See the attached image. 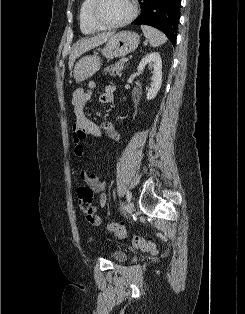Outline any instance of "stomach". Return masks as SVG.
Here are the masks:
<instances>
[{
    "label": "stomach",
    "instance_id": "obj_1",
    "mask_svg": "<svg viewBox=\"0 0 245 314\" xmlns=\"http://www.w3.org/2000/svg\"><path fill=\"white\" fill-rule=\"evenodd\" d=\"M140 42V37L132 31H121L113 34L107 41L101 53L106 58H116L134 51ZM101 66L97 55L85 56L80 59L74 68V78L77 82L85 81L92 77Z\"/></svg>",
    "mask_w": 245,
    "mask_h": 314
}]
</instances>
